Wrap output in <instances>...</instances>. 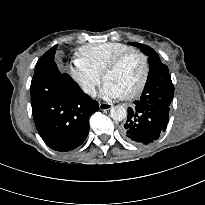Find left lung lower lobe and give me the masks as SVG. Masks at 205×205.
Instances as JSON below:
<instances>
[{"label":"left lung lower lobe","mask_w":205,"mask_h":205,"mask_svg":"<svg viewBox=\"0 0 205 205\" xmlns=\"http://www.w3.org/2000/svg\"><path fill=\"white\" fill-rule=\"evenodd\" d=\"M169 111V105L135 101L134 107L128 108V118L121 129L123 137L139 145L155 142L167 128Z\"/></svg>","instance_id":"1"}]
</instances>
